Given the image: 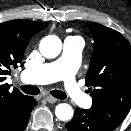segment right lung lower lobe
<instances>
[{"label":"right lung lower lobe","mask_w":131,"mask_h":131,"mask_svg":"<svg viewBox=\"0 0 131 131\" xmlns=\"http://www.w3.org/2000/svg\"><path fill=\"white\" fill-rule=\"evenodd\" d=\"M36 105V100L33 97H29L24 106L22 107L19 118L12 129L9 131H23L28 123L30 114L34 106Z\"/></svg>","instance_id":"obj_1"}]
</instances>
